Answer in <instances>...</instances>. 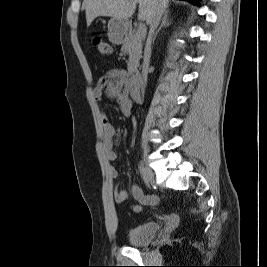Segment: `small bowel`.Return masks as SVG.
<instances>
[{"label":"small bowel","instance_id":"c3829d8e","mask_svg":"<svg viewBox=\"0 0 267 267\" xmlns=\"http://www.w3.org/2000/svg\"><path fill=\"white\" fill-rule=\"evenodd\" d=\"M130 81L126 70L114 68L105 73L93 88V97L97 102L102 100V96L106 95L109 100L114 102L124 116H130L133 110V103L130 98ZM103 125L102 148L108 161H115L117 154L114 151V138L120 135V131L109 120L107 114H101ZM109 175L112 178L118 176V171L114 166L108 169ZM131 193L136 203L129 206V209L134 213H140L144 205L154 206L158 203V198L154 195H146L141 188L133 185ZM128 199L126 190H114V200L116 203H124ZM169 223H175L177 217L169 215L166 217Z\"/></svg>","mask_w":267,"mask_h":267}]
</instances>
